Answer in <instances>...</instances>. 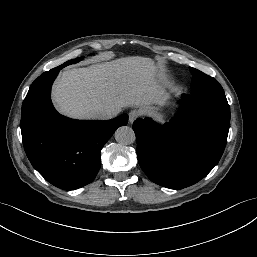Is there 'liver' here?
<instances>
[{"mask_svg":"<svg viewBox=\"0 0 257 257\" xmlns=\"http://www.w3.org/2000/svg\"><path fill=\"white\" fill-rule=\"evenodd\" d=\"M161 75L150 58L130 56L64 71L53 86V101L69 117L94 119L97 109L160 104Z\"/></svg>","mask_w":257,"mask_h":257,"instance_id":"liver-1","label":"liver"}]
</instances>
